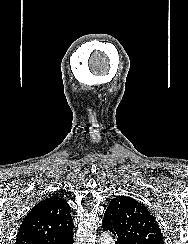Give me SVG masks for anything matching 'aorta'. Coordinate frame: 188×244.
I'll return each mask as SVG.
<instances>
[{"mask_svg": "<svg viewBox=\"0 0 188 244\" xmlns=\"http://www.w3.org/2000/svg\"><path fill=\"white\" fill-rule=\"evenodd\" d=\"M99 244H114L111 234L108 232L102 233L99 238Z\"/></svg>", "mask_w": 188, "mask_h": 244, "instance_id": "1", "label": "aorta"}]
</instances>
